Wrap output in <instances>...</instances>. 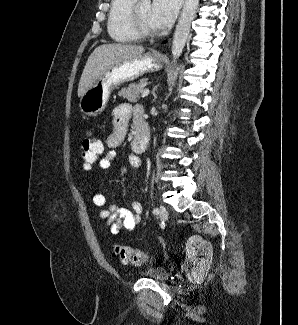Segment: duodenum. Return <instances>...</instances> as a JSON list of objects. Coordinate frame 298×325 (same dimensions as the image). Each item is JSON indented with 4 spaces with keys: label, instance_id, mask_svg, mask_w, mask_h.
Wrapping results in <instances>:
<instances>
[{
    "label": "duodenum",
    "instance_id": "410a0bca",
    "mask_svg": "<svg viewBox=\"0 0 298 325\" xmlns=\"http://www.w3.org/2000/svg\"><path fill=\"white\" fill-rule=\"evenodd\" d=\"M150 130L145 120L144 112L137 108L134 116V134L132 140V149L136 153H142L149 142Z\"/></svg>",
    "mask_w": 298,
    "mask_h": 325
}]
</instances>
